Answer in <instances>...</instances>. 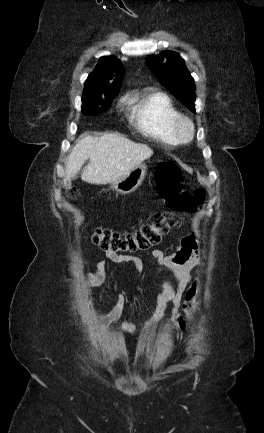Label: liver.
Returning a JSON list of instances; mask_svg holds the SVG:
<instances>
[{"instance_id": "6515ba94", "label": "liver", "mask_w": 264, "mask_h": 433, "mask_svg": "<svg viewBox=\"0 0 264 433\" xmlns=\"http://www.w3.org/2000/svg\"><path fill=\"white\" fill-rule=\"evenodd\" d=\"M152 155L153 150L147 145L135 143L118 133L81 136L68 157L65 177L73 179L89 159L81 179L97 185L113 183Z\"/></svg>"}]
</instances>
